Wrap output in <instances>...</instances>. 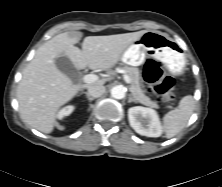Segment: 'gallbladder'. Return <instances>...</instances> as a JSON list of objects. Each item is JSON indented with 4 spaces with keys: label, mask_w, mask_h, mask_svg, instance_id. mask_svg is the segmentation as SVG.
<instances>
[{
    "label": "gallbladder",
    "mask_w": 222,
    "mask_h": 187,
    "mask_svg": "<svg viewBox=\"0 0 222 187\" xmlns=\"http://www.w3.org/2000/svg\"><path fill=\"white\" fill-rule=\"evenodd\" d=\"M56 65L59 70L66 74L73 82L77 83L80 81V72L67 57H58L56 59Z\"/></svg>",
    "instance_id": "bac80fb5"
}]
</instances>
